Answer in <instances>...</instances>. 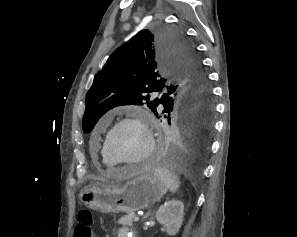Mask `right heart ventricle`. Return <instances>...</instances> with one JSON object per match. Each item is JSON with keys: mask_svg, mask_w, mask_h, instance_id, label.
I'll use <instances>...</instances> for the list:
<instances>
[{"mask_svg": "<svg viewBox=\"0 0 297 237\" xmlns=\"http://www.w3.org/2000/svg\"><path fill=\"white\" fill-rule=\"evenodd\" d=\"M100 156L103 164L108 167V168H114L117 166V164L109 157L107 152L105 151L104 148V143L102 144V147L100 149Z\"/></svg>", "mask_w": 297, "mask_h": 237, "instance_id": "1", "label": "right heart ventricle"}]
</instances>
